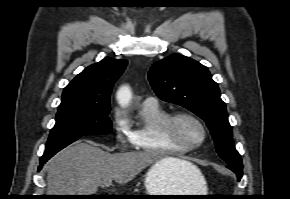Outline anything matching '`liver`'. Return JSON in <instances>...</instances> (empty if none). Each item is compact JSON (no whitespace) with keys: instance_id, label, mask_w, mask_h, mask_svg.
Listing matches in <instances>:
<instances>
[{"instance_id":"6515ba94","label":"liver","mask_w":290,"mask_h":199,"mask_svg":"<svg viewBox=\"0 0 290 199\" xmlns=\"http://www.w3.org/2000/svg\"><path fill=\"white\" fill-rule=\"evenodd\" d=\"M165 164L172 173L195 176L192 163L152 152L110 154L92 141H77L57 153L46 165L47 195H93L106 181L124 185L149 165Z\"/></svg>"}]
</instances>
